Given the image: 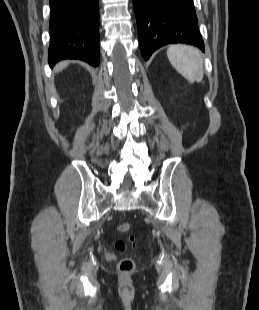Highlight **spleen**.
<instances>
[{
  "label": "spleen",
  "instance_id": "1",
  "mask_svg": "<svg viewBox=\"0 0 259 310\" xmlns=\"http://www.w3.org/2000/svg\"><path fill=\"white\" fill-rule=\"evenodd\" d=\"M171 65L188 81L201 82L204 76L200 51L189 45H171L167 50Z\"/></svg>",
  "mask_w": 259,
  "mask_h": 310
}]
</instances>
